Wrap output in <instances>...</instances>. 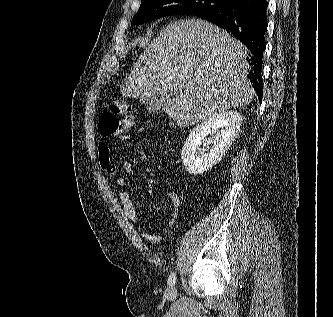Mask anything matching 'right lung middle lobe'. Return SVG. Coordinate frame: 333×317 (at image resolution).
I'll use <instances>...</instances> for the list:
<instances>
[{
	"label": "right lung middle lobe",
	"instance_id": "dd1d6c3e",
	"mask_svg": "<svg viewBox=\"0 0 333 317\" xmlns=\"http://www.w3.org/2000/svg\"><path fill=\"white\" fill-rule=\"evenodd\" d=\"M225 2L223 0H142L132 24H141L168 15H196L218 8Z\"/></svg>",
	"mask_w": 333,
	"mask_h": 317
}]
</instances>
